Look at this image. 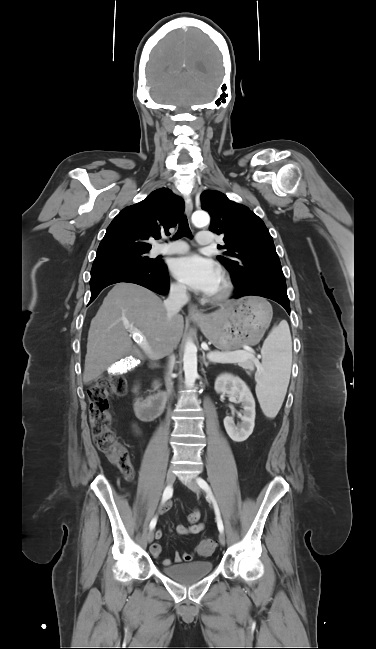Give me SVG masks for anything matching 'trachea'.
<instances>
[{
	"mask_svg": "<svg viewBox=\"0 0 376 649\" xmlns=\"http://www.w3.org/2000/svg\"><path fill=\"white\" fill-rule=\"evenodd\" d=\"M191 237V231L189 228L188 220L186 216H182L180 221H179V227L178 231L174 237V239H178L181 237Z\"/></svg>",
	"mask_w": 376,
	"mask_h": 649,
	"instance_id": "trachea-1",
	"label": "trachea"
}]
</instances>
